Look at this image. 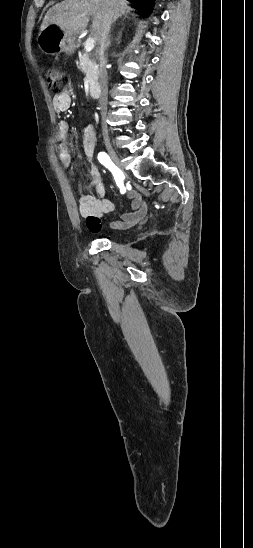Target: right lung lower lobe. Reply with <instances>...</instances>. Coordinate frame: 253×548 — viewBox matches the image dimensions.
<instances>
[{"label": "right lung lower lobe", "mask_w": 253, "mask_h": 548, "mask_svg": "<svg viewBox=\"0 0 253 548\" xmlns=\"http://www.w3.org/2000/svg\"><path fill=\"white\" fill-rule=\"evenodd\" d=\"M128 1L138 5L140 8L150 9L153 6V3L155 0H128Z\"/></svg>", "instance_id": "1"}]
</instances>
